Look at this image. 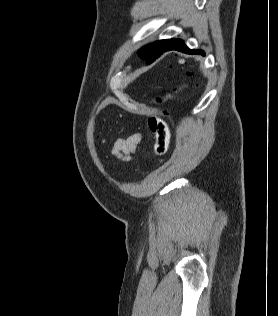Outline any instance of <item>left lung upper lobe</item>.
<instances>
[{
    "label": "left lung upper lobe",
    "instance_id": "5c2ea615",
    "mask_svg": "<svg viewBox=\"0 0 278 316\" xmlns=\"http://www.w3.org/2000/svg\"><path fill=\"white\" fill-rule=\"evenodd\" d=\"M171 41L172 39H165L149 44L139 51V56L147 63H151L163 53Z\"/></svg>",
    "mask_w": 278,
    "mask_h": 316
}]
</instances>
